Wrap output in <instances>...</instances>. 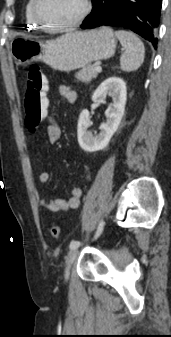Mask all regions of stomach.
<instances>
[{
	"label": "stomach",
	"instance_id": "1",
	"mask_svg": "<svg viewBox=\"0 0 171 337\" xmlns=\"http://www.w3.org/2000/svg\"><path fill=\"white\" fill-rule=\"evenodd\" d=\"M117 40L109 27L84 32L67 33L57 39L40 41L17 38L11 43V53L19 65L43 61L53 69L69 72L115 53Z\"/></svg>",
	"mask_w": 171,
	"mask_h": 337
}]
</instances>
